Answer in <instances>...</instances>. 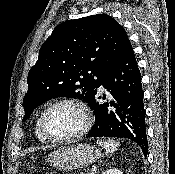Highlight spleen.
<instances>
[{
	"label": "spleen",
	"mask_w": 175,
	"mask_h": 174,
	"mask_svg": "<svg viewBox=\"0 0 175 174\" xmlns=\"http://www.w3.org/2000/svg\"><path fill=\"white\" fill-rule=\"evenodd\" d=\"M96 143L99 146H101L102 148H104L109 153H114L118 149V147L120 146V143L116 142L113 139L97 140Z\"/></svg>",
	"instance_id": "obj_1"
}]
</instances>
